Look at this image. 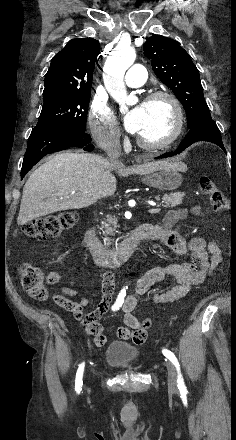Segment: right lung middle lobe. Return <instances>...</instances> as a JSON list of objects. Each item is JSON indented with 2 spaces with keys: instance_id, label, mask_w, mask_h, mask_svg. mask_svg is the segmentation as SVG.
Returning <instances> with one entry per match:
<instances>
[{
  "instance_id": "right-lung-middle-lobe-1",
  "label": "right lung middle lobe",
  "mask_w": 236,
  "mask_h": 440,
  "mask_svg": "<svg viewBox=\"0 0 236 440\" xmlns=\"http://www.w3.org/2000/svg\"><path fill=\"white\" fill-rule=\"evenodd\" d=\"M90 93L44 103L35 128L85 131Z\"/></svg>"
}]
</instances>
